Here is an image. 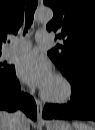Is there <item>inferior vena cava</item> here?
I'll return each mask as SVG.
<instances>
[{
    "label": "inferior vena cava",
    "mask_w": 95,
    "mask_h": 130,
    "mask_svg": "<svg viewBox=\"0 0 95 130\" xmlns=\"http://www.w3.org/2000/svg\"><path fill=\"white\" fill-rule=\"evenodd\" d=\"M24 114L18 110L12 114L13 130H21V123L24 120Z\"/></svg>",
    "instance_id": "602c4592"
}]
</instances>
